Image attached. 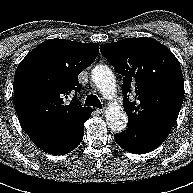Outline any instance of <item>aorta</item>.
I'll return each instance as SVG.
<instances>
[{"instance_id":"aorta-1","label":"aorta","mask_w":193,"mask_h":193,"mask_svg":"<svg viewBox=\"0 0 193 193\" xmlns=\"http://www.w3.org/2000/svg\"><path fill=\"white\" fill-rule=\"evenodd\" d=\"M92 80L106 99H113L116 93V80L113 72L106 65H98L92 70ZM106 121L113 131H121L126 127L127 115L117 102L110 103L105 111Z\"/></svg>"}]
</instances>
